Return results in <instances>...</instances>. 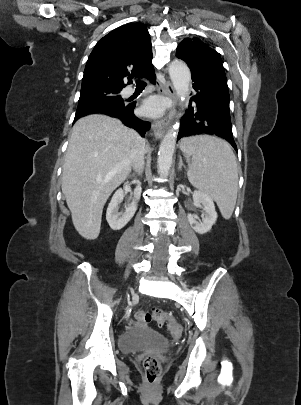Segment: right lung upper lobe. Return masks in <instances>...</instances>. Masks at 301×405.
Wrapping results in <instances>:
<instances>
[{
    "instance_id": "1",
    "label": "right lung upper lobe",
    "mask_w": 301,
    "mask_h": 405,
    "mask_svg": "<svg viewBox=\"0 0 301 405\" xmlns=\"http://www.w3.org/2000/svg\"><path fill=\"white\" fill-rule=\"evenodd\" d=\"M152 57L150 35L144 25L120 26L95 45L86 63L81 90L95 87L122 90L124 77H143L153 69L152 63L142 64ZM131 76L127 84L132 83Z\"/></svg>"
}]
</instances>
